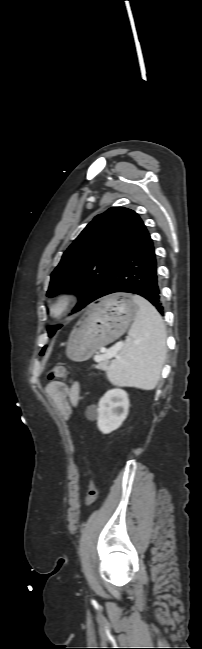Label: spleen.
I'll list each match as a JSON object with an SVG mask.
<instances>
[{
    "label": "spleen",
    "instance_id": "obj_1",
    "mask_svg": "<svg viewBox=\"0 0 202 649\" xmlns=\"http://www.w3.org/2000/svg\"><path fill=\"white\" fill-rule=\"evenodd\" d=\"M139 312L122 351L108 372L111 383L150 390L156 387L166 354V328L155 307L134 295Z\"/></svg>",
    "mask_w": 202,
    "mask_h": 649
}]
</instances>
